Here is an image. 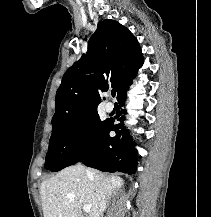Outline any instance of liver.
Returning <instances> with one entry per match:
<instances>
[{
	"label": "liver",
	"instance_id": "6515ba94",
	"mask_svg": "<svg viewBox=\"0 0 211 217\" xmlns=\"http://www.w3.org/2000/svg\"><path fill=\"white\" fill-rule=\"evenodd\" d=\"M123 180L77 164L42 182L40 195L44 217H85L82 208L91 207L86 217H101L112 193Z\"/></svg>",
	"mask_w": 211,
	"mask_h": 217
}]
</instances>
